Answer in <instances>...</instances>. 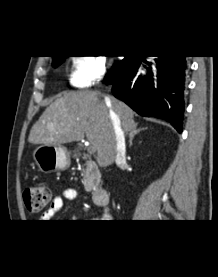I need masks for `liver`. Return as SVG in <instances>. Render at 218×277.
I'll return each instance as SVG.
<instances>
[{"label":"liver","mask_w":218,"mask_h":277,"mask_svg":"<svg viewBox=\"0 0 218 277\" xmlns=\"http://www.w3.org/2000/svg\"><path fill=\"white\" fill-rule=\"evenodd\" d=\"M110 108L119 117L125 132L135 128L132 109L118 99L93 91L65 92L46 108L33 125L28 141L32 144L60 146L80 141L86 135L97 152L98 164L109 166L114 162L116 154Z\"/></svg>","instance_id":"1"}]
</instances>
